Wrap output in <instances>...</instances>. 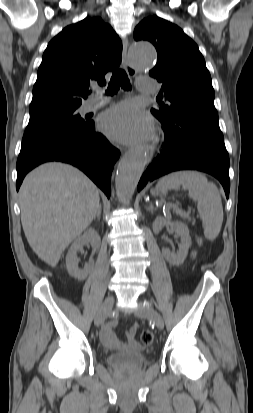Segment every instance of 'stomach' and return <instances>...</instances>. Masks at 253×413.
I'll list each match as a JSON object with an SVG mask.
<instances>
[{
  "label": "stomach",
  "mask_w": 253,
  "mask_h": 413,
  "mask_svg": "<svg viewBox=\"0 0 253 413\" xmlns=\"http://www.w3.org/2000/svg\"><path fill=\"white\" fill-rule=\"evenodd\" d=\"M151 193L153 194V195H159V194H165L166 193V190L165 189H162V188H155V189H152L151 190Z\"/></svg>",
  "instance_id": "0dacf381"
}]
</instances>
